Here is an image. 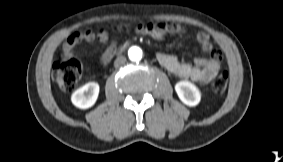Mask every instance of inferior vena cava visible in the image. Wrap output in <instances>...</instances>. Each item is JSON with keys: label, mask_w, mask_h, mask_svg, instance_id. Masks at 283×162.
<instances>
[{"label": "inferior vena cava", "mask_w": 283, "mask_h": 162, "mask_svg": "<svg viewBox=\"0 0 283 162\" xmlns=\"http://www.w3.org/2000/svg\"><path fill=\"white\" fill-rule=\"evenodd\" d=\"M125 62H126V58L124 56H119L115 59L114 66L119 67V66L125 64Z\"/></svg>", "instance_id": "inferior-vena-cava-1"}]
</instances>
